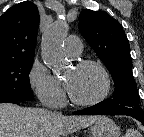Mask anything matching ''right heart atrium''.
Listing matches in <instances>:
<instances>
[{
	"mask_svg": "<svg viewBox=\"0 0 144 137\" xmlns=\"http://www.w3.org/2000/svg\"><path fill=\"white\" fill-rule=\"evenodd\" d=\"M28 82L44 106L55 108L63 104L64 93L60 81L40 61L35 60L31 65Z\"/></svg>",
	"mask_w": 144,
	"mask_h": 137,
	"instance_id": "obj_1",
	"label": "right heart atrium"
}]
</instances>
